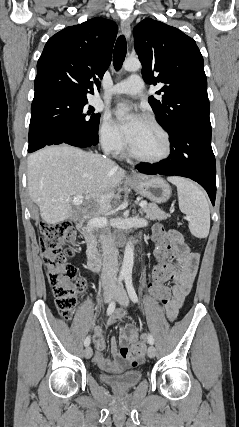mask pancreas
Here are the masks:
<instances>
[{
    "label": "pancreas",
    "mask_w": 239,
    "mask_h": 427,
    "mask_svg": "<svg viewBox=\"0 0 239 427\" xmlns=\"http://www.w3.org/2000/svg\"><path fill=\"white\" fill-rule=\"evenodd\" d=\"M146 214L145 218L149 220H165L169 217L164 211L160 210V208L155 203L147 204L145 207L141 209V214Z\"/></svg>",
    "instance_id": "obj_1"
}]
</instances>
